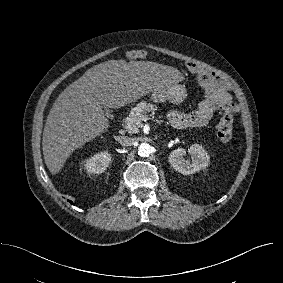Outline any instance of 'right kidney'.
I'll return each instance as SVG.
<instances>
[{"label": "right kidney", "mask_w": 283, "mask_h": 283, "mask_svg": "<svg viewBox=\"0 0 283 283\" xmlns=\"http://www.w3.org/2000/svg\"><path fill=\"white\" fill-rule=\"evenodd\" d=\"M111 163V155L107 152L97 153L84 161V168L88 173H102Z\"/></svg>", "instance_id": "obj_1"}]
</instances>
